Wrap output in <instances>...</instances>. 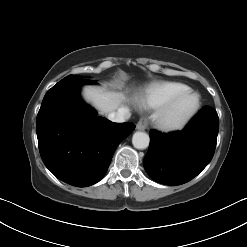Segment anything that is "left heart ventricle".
I'll return each instance as SVG.
<instances>
[{
  "instance_id": "b2bd125f",
  "label": "left heart ventricle",
  "mask_w": 247,
  "mask_h": 247,
  "mask_svg": "<svg viewBox=\"0 0 247 247\" xmlns=\"http://www.w3.org/2000/svg\"><path fill=\"white\" fill-rule=\"evenodd\" d=\"M194 103L193 97H186L184 98L176 107L174 111L175 117H179L183 115Z\"/></svg>"
}]
</instances>
